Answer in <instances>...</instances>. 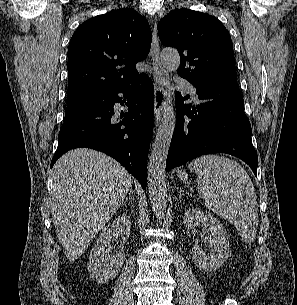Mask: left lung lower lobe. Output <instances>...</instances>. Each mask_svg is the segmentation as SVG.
<instances>
[{
  "label": "left lung lower lobe",
  "mask_w": 297,
  "mask_h": 305,
  "mask_svg": "<svg viewBox=\"0 0 297 305\" xmlns=\"http://www.w3.org/2000/svg\"><path fill=\"white\" fill-rule=\"evenodd\" d=\"M195 87L201 100L197 106L183 104L189 95H175L176 126L166 171L201 155L227 153L246 162L257 176L258 157L237 80Z\"/></svg>",
  "instance_id": "0a47b994"
}]
</instances>
